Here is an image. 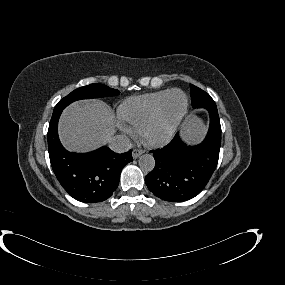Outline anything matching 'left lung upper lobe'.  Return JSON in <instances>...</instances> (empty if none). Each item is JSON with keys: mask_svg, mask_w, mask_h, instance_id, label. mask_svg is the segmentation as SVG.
<instances>
[{"mask_svg": "<svg viewBox=\"0 0 285 285\" xmlns=\"http://www.w3.org/2000/svg\"><path fill=\"white\" fill-rule=\"evenodd\" d=\"M193 108H200L206 104L215 103L211 96L202 89L190 84Z\"/></svg>", "mask_w": 285, "mask_h": 285, "instance_id": "1", "label": "left lung upper lobe"}]
</instances>
